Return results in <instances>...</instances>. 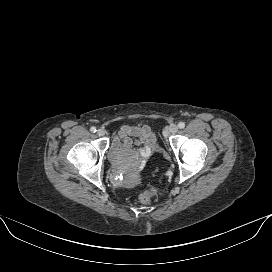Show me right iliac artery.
I'll return each instance as SVG.
<instances>
[{
  "label": "right iliac artery",
  "mask_w": 272,
  "mask_h": 272,
  "mask_svg": "<svg viewBox=\"0 0 272 272\" xmlns=\"http://www.w3.org/2000/svg\"><path fill=\"white\" fill-rule=\"evenodd\" d=\"M90 131H91L92 133H95L97 130H96L95 127H91V128H90Z\"/></svg>",
  "instance_id": "1"
}]
</instances>
